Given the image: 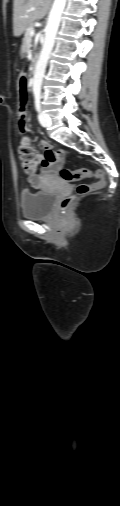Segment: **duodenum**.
Returning <instances> with one entry per match:
<instances>
[{"mask_svg": "<svg viewBox=\"0 0 120 506\" xmlns=\"http://www.w3.org/2000/svg\"><path fill=\"white\" fill-rule=\"evenodd\" d=\"M37 64H38V58L36 57V58L34 59L33 73H35V72H36Z\"/></svg>", "mask_w": 120, "mask_h": 506, "instance_id": "1", "label": "duodenum"}]
</instances>
